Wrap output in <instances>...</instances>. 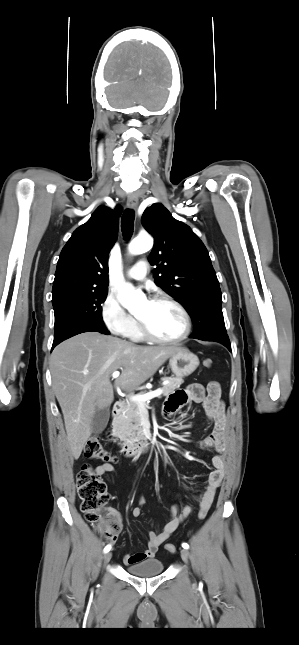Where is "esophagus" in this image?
Listing matches in <instances>:
<instances>
[{
	"instance_id": "obj_1",
	"label": "esophagus",
	"mask_w": 299,
	"mask_h": 645,
	"mask_svg": "<svg viewBox=\"0 0 299 645\" xmlns=\"http://www.w3.org/2000/svg\"><path fill=\"white\" fill-rule=\"evenodd\" d=\"M138 206V198L136 195H130L127 199V207L130 209H136Z\"/></svg>"
}]
</instances>
